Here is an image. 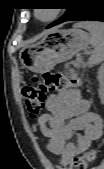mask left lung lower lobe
<instances>
[{
  "mask_svg": "<svg viewBox=\"0 0 104 169\" xmlns=\"http://www.w3.org/2000/svg\"><path fill=\"white\" fill-rule=\"evenodd\" d=\"M82 20H93L104 22V2L101 0L99 1L79 0L76 10L66 19H64L61 23L66 21H82Z\"/></svg>",
  "mask_w": 104,
  "mask_h": 169,
  "instance_id": "obj_1",
  "label": "left lung lower lobe"
}]
</instances>
